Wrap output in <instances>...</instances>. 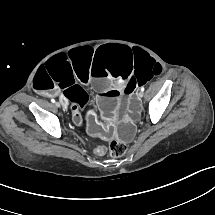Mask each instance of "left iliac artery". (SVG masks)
<instances>
[{
	"label": "left iliac artery",
	"instance_id": "obj_1",
	"mask_svg": "<svg viewBox=\"0 0 215 215\" xmlns=\"http://www.w3.org/2000/svg\"><path fill=\"white\" fill-rule=\"evenodd\" d=\"M141 91H144V87H141Z\"/></svg>",
	"mask_w": 215,
	"mask_h": 215
}]
</instances>
